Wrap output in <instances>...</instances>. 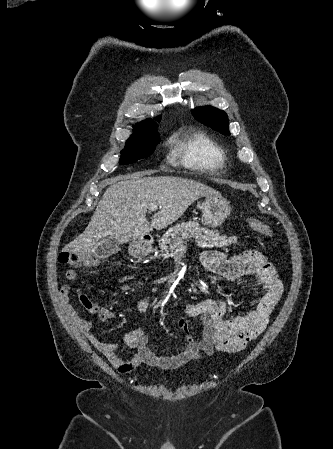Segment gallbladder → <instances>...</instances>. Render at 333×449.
Here are the masks:
<instances>
[{
  "instance_id": "bac80fb5",
  "label": "gallbladder",
  "mask_w": 333,
  "mask_h": 449,
  "mask_svg": "<svg viewBox=\"0 0 333 449\" xmlns=\"http://www.w3.org/2000/svg\"><path fill=\"white\" fill-rule=\"evenodd\" d=\"M120 250V244L112 238L103 239L93 249L92 254L97 258H107Z\"/></svg>"
}]
</instances>
